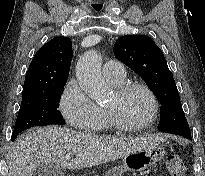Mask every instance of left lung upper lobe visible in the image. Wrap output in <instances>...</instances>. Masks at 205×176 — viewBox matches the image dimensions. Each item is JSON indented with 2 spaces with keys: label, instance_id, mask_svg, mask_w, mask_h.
<instances>
[{
  "label": "left lung upper lobe",
  "instance_id": "1",
  "mask_svg": "<svg viewBox=\"0 0 205 176\" xmlns=\"http://www.w3.org/2000/svg\"><path fill=\"white\" fill-rule=\"evenodd\" d=\"M114 55L146 81L162 104L159 129L189 139V125L173 75L163 52L154 41L145 35L120 37L114 45Z\"/></svg>",
  "mask_w": 205,
  "mask_h": 176
}]
</instances>
